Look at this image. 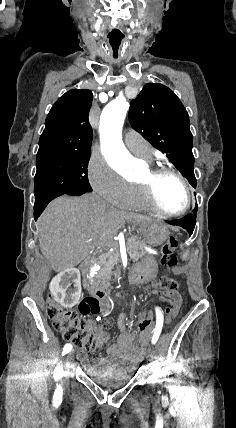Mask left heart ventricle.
I'll return each mask as SVG.
<instances>
[{
    "label": "left heart ventricle",
    "instance_id": "obj_1",
    "mask_svg": "<svg viewBox=\"0 0 236 428\" xmlns=\"http://www.w3.org/2000/svg\"><path fill=\"white\" fill-rule=\"evenodd\" d=\"M147 175L148 172H145L137 180H127L130 182L142 181ZM156 194L161 205L170 211L181 209L186 202V191L183 184L171 175H165L157 181Z\"/></svg>",
    "mask_w": 236,
    "mask_h": 428
}]
</instances>
